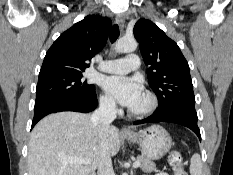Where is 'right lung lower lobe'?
I'll return each instance as SVG.
<instances>
[{"instance_id":"1","label":"right lung lower lobe","mask_w":233,"mask_h":175,"mask_svg":"<svg viewBox=\"0 0 233 175\" xmlns=\"http://www.w3.org/2000/svg\"><path fill=\"white\" fill-rule=\"evenodd\" d=\"M96 107V95L87 99L56 98L44 100L39 103H35L32 128L40 119H42L44 116L50 113H56L61 111H75L87 113L93 111Z\"/></svg>"}]
</instances>
